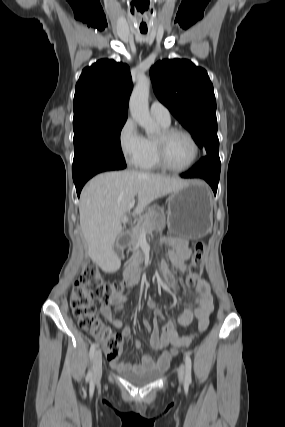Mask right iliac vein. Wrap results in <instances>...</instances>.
<instances>
[{"label":"right iliac vein","instance_id":"63e3f726","mask_svg":"<svg viewBox=\"0 0 285 427\" xmlns=\"http://www.w3.org/2000/svg\"><path fill=\"white\" fill-rule=\"evenodd\" d=\"M93 380L98 381L102 375V354L100 350L95 352L93 357Z\"/></svg>","mask_w":285,"mask_h":427}]
</instances>
